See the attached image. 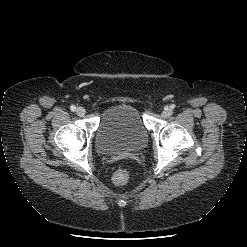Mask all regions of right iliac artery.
Listing matches in <instances>:
<instances>
[{
	"label": "right iliac artery",
	"instance_id": "obj_1",
	"mask_svg": "<svg viewBox=\"0 0 247 247\" xmlns=\"http://www.w3.org/2000/svg\"><path fill=\"white\" fill-rule=\"evenodd\" d=\"M70 109H71V111H75V110H76V107H75L74 105H72V106L70 107Z\"/></svg>",
	"mask_w": 247,
	"mask_h": 247
}]
</instances>
